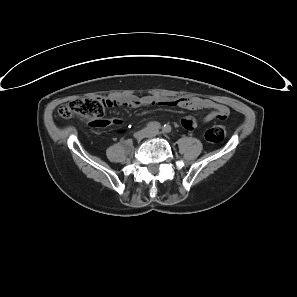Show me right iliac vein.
<instances>
[{
    "instance_id": "1",
    "label": "right iliac vein",
    "mask_w": 297,
    "mask_h": 297,
    "mask_svg": "<svg viewBox=\"0 0 297 297\" xmlns=\"http://www.w3.org/2000/svg\"><path fill=\"white\" fill-rule=\"evenodd\" d=\"M149 134L148 130L146 129H143V130H140V131H137L135 134H134V137L136 140H142L143 138L147 137Z\"/></svg>"
}]
</instances>
